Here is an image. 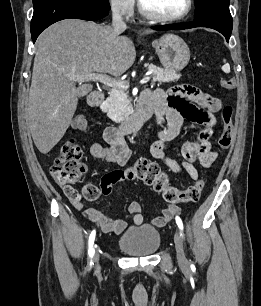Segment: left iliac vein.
<instances>
[{"mask_svg": "<svg viewBox=\"0 0 261 306\" xmlns=\"http://www.w3.org/2000/svg\"><path fill=\"white\" fill-rule=\"evenodd\" d=\"M174 243H175L178 263L181 267H186L188 265V261L186 259L185 253H184L183 236L180 232L175 233Z\"/></svg>", "mask_w": 261, "mask_h": 306, "instance_id": "4c4485c4", "label": "left iliac vein"}]
</instances>
